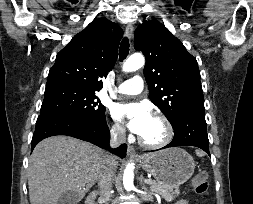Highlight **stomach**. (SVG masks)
I'll list each match as a JSON object with an SVG mask.
<instances>
[{"instance_id": "0dacf381", "label": "stomach", "mask_w": 253, "mask_h": 204, "mask_svg": "<svg viewBox=\"0 0 253 204\" xmlns=\"http://www.w3.org/2000/svg\"><path fill=\"white\" fill-rule=\"evenodd\" d=\"M137 161L159 184L171 190L190 179L195 169L193 158L181 148L141 155Z\"/></svg>"}]
</instances>
